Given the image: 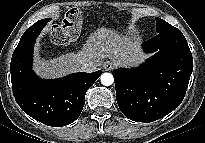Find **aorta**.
<instances>
[{
    "instance_id": "1",
    "label": "aorta",
    "mask_w": 205,
    "mask_h": 143,
    "mask_svg": "<svg viewBox=\"0 0 205 143\" xmlns=\"http://www.w3.org/2000/svg\"><path fill=\"white\" fill-rule=\"evenodd\" d=\"M100 79H101V83L104 86H110L114 82V77H113V75L111 73H103L101 75Z\"/></svg>"
}]
</instances>
